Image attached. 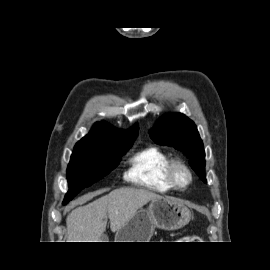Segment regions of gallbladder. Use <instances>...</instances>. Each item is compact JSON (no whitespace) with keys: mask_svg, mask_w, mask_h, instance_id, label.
I'll list each match as a JSON object with an SVG mask.
<instances>
[{"mask_svg":"<svg viewBox=\"0 0 270 270\" xmlns=\"http://www.w3.org/2000/svg\"><path fill=\"white\" fill-rule=\"evenodd\" d=\"M107 239H108L107 235L104 234V235L101 237V240H100V241L105 242Z\"/></svg>","mask_w":270,"mask_h":270,"instance_id":"1","label":"gallbladder"}]
</instances>
